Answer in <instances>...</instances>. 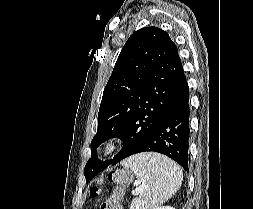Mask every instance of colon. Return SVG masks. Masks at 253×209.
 Here are the masks:
<instances>
[{
    "label": "colon",
    "mask_w": 253,
    "mask_h": 209,
    "mask_svg": "<svg viewBox=\"0 0 253 209\" xmlns=\"http://www.w3.org/2000/svg\"><path fill=\"white\" fill-rule=\"evenodd\" d=\"M109 180L115 184L112 195L100 204L99 209H119V200L123 196L124 188L130 183L132 174L127 170L110 173ZM100 189L97 186L90 188V196L95 199L99 196Z\"/></svg>",
    "instance_id": "1"
}]
</instances>
